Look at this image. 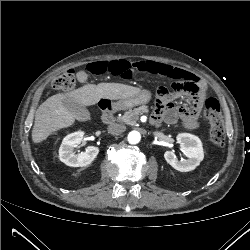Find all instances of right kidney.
<instances>
[{
    "label": "right kidney",
    "mask_w": 250,
    "mask_h": 250,
    "mask_svg": "<svg viewBox=\"0 0 250 250\" xmlns=\"http://www.w3.org/2000/svg\"><path fill=\"white\" fill-rule=\"evenodd\" d=\"M84 137V132L78 131L67 135L59 148V159L70 167H83L89 165L98 155L99 148L88 146L84 152L75 154Z\"/></svg>",
    "instance_id": "1"
}]
</instances>
